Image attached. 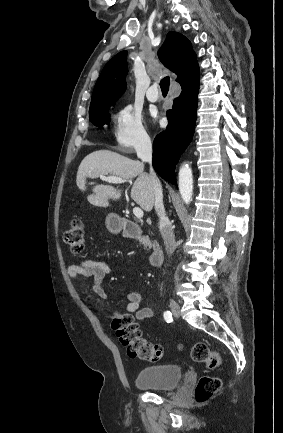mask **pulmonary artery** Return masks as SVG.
<instances>
[{
    "mask_svg": "<svg viewBox=\"0 0 283 433\" xmlns=\"http://www.w3.org/2000/svg\"><path fill=\"white\" fill-rule=\"evenodd\" d=\"M146 97L151 102H157L161 99V96L158 94L157 88H148Z\"/></svg>",
    "mask_w": 283,
    "mask_h": 433,
    "instance_id": "pulmonary-artery-1",
    "label": "pulmonary artery"
}]
</instances>
